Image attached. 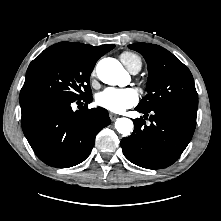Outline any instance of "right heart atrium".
I'll return each instance as SVG.
<instances>
[{
    "label": "right heart atrium",
    "instance_id": "obj_1",
    "mask_svg": "<svg viewBox=\"0 0 221 221\" xmlns=\"http://www.w3.org/2000/svg\"><path fill=\"white\" fill-rule=\"evenodd\" d=\"M95 75V71L93 70L91 73V77H93Z\"/></svg>",
    "mask_w": 221,
    "mask_h": 221
}]
</instances>
